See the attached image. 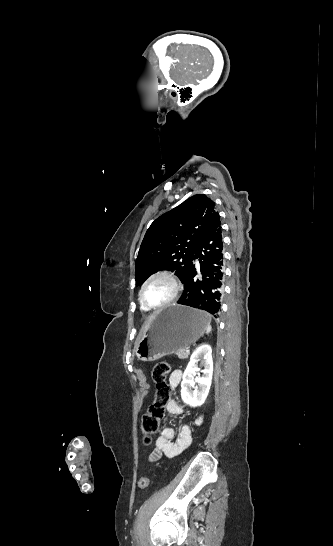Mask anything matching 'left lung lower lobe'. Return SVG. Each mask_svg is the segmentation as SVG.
Wrapping results in <instances>:
<instances>
[{"instance_id":"1","label":"left lung lower lobe","mask_w":333,"mask_h":546,"mask_svg":"<svg viewBox=\"0 0 333 546\" xmlns=\"http://www.w3.org/2000/svg\"><path fill=\"white\" fill-rule=\"evenodd\" d=\"M223 243L220 217L214 219L195 247L194 259L199 260L200 279L194 263L183 280L184 291L178 303L205 310L217 318L223 296ZM193 259V260H194Z\"/></svg>"}]
</instances>
